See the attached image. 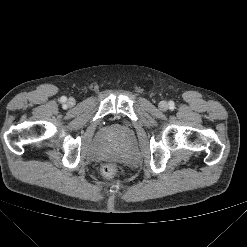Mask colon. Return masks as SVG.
I'll use <instances>...</instances> for the list:
<instances>
[{
	"instance_id": "1",
	"label": "colon",
	"mask_w": 247,
	"mask_h": 247,
	"mask_svg": "<svg viewBox=\"0 0 247 247\" xmlns=\"http://www.w3.org/2000/svg\"><path fill=\"white\" fill-rule=\"evenodd\" d=\"M102 174L106 178H113L117 174V167L112 163L105 164L102 167Z\"/></svg>"
}]
</instances>
